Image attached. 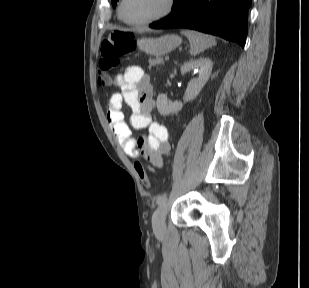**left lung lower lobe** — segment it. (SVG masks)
<instances>
[{
	"label": "left lung lower lobe",
	"mask_w": 309,
	"mask_h": 288,
	"mask_svg": "<svg viewBox=\"0 0 309 288\" xmlns=\"http://www.w3.org/2000/svg\"><path fill=\"white\" fill-rule=\"evenodd\" d=\"M252 0H175L173 11L151 28H189L234 41L242 47Z\"/></svg>",
	"instance_id": "left-lung-lower-lobe-1"
}]
</instances>
